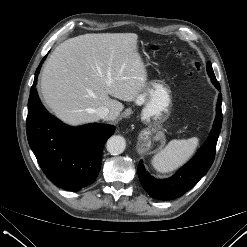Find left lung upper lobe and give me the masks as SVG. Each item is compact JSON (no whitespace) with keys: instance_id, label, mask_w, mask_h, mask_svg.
Segmentation results:
<instances>
[{"instance_id":"1","label":"left lung upper lobe","mask_w":247,"mask_h":247,"mask_svg":"<svg viewBox=\"0 0 247 247\" xmlns=\"http://www.w3.org/2000/svg\"><path fill=\"white\" fill-rule=\"evenodd\" d=\"M207 72L209 77L211 78V81H217L210 62L207 63Z\"/></svg>"}]
</instances>
